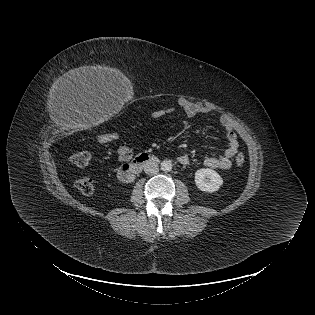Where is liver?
<instances>
[{
	"instance_id": "liver-1",
	"label": "liver",
	"mask_w": 315,
	"mask_h": 315,
	"mask_svg": "<svg viewBox=\"0 0 315 315\" xmlns=\"http://www.w3.org/2000/svg\"><path fill=\"white\" fill-rule=\"evenodd\" d=\"M60 84L70 88L75 84L86 83H121L125 84L128 79L117 68L106 66H82L72 69L60 78Z\"/></svg>"
}]
</instances>
